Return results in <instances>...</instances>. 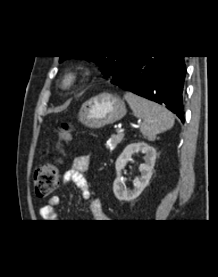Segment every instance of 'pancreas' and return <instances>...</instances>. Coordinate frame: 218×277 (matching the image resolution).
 <instances>
[{"label":"pancreas","instance_id":"cf45deb5","mask_svg":"<svg viewBox=\"0 0 218 277\" xmlns=\"http://www.w3.org/2000/svg\"><path fill=\"white\" fill-rule=\"evenodd\" d=\"M124 138V133H119L116 135H113L106 143V147L108 149H115L118 144L121 143V141Z\"/></svg>","mask_w":218,"mask_h":277}]
</instances>
